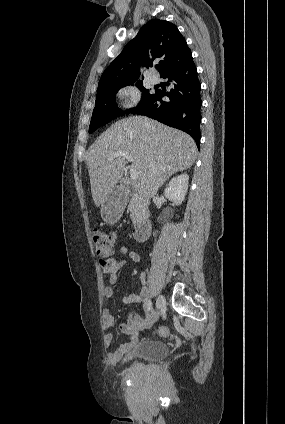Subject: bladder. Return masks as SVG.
<instances>
[{
  "label": "bladder",
  "mask_w": 285,
  "mask_h": 424,
  "mask_svg": "<svg viewBox=\"0 0 285 424\" xmlns=\"http://www.w3.org/2000/svg\"><path fill=\"white\" fill-rule=\"evenodd\" d=\"M167 352L168 348L164 342L143 341L124 354L120 360V364L123 365L132 361H159L166 356Z\"/></svg>",
  "instance_id": "31cf9c89"
}]
</instances>
